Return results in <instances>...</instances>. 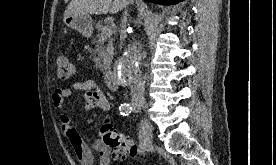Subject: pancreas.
Masks as SVG:
<instances>
[{"label": "pancreas", "instance_id": "pancreas-1", "mask_svg": "<svg viewBox=\"0 0 276 165\" xmlns=\"http://www.w3.org/2000/svg\"><path fill=\"white\" fill-rule=\"evenodd\" d=\"M108 40V44L104 43ZM92 44H95V49L91 51L93 54V61L96 63V68L104 71L111 65L113 59V41L108 36L98 33L93 39Z\"/></svg>", "mask_w": 276, "mask_h": 165}]
</instances>
